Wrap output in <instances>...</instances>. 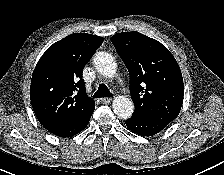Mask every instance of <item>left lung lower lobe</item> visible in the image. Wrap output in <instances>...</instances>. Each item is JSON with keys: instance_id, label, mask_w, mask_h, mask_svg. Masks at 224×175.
<instances>
[{"instance_id": "1", "label": "left lung lower lobe", "mask_w": 224, "mask_h": 175, "mask_svg": "<svg viewBox=\"0 0 224 175\" xmlns=\"http://www.w3.org/2000/svg\"><path fill=\"white\" fill-rule=\"evenodd\" d=\"M171 120L168 119H150L132 116L126 120V126L132 132L141 136H152L162 131Z\"/></svg>"}]
</instances>
